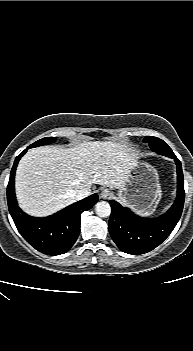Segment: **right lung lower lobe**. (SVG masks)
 Returning <instances> with one entry per match:
<instances>
[{
	"label": "right lung lower lobe",
	"instance_id": "1",
	"mask_svg": "<svg viewBox=\"0 0 193 351\" xmlns=\"http://www.w3.org/2000/svg\"><path fill=\"white\" fill-rule=\"evenodd\" d=\"M27 149L16 157L10 173L7 186L9 212L20 234L36 250L47 255L66 253L78 238L81 213L92 208L98 201V195L93 194L49 217L27 215L17 204L14 188L16 167Z\"/></svg>",
	"mask_w": 193,
	"mask_h": 351
}]
</instances>
